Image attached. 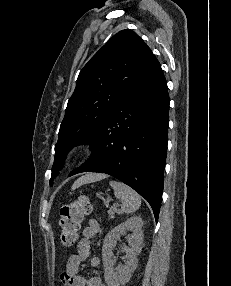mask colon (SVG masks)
<instances>
[{
	"label": "colon",
	"mask_w": 231,
	"mask_h": 286,
	"mask_svg": "<svg viewBox=\"0 0 231 286\" xmlns=\"http://www.w3.org/2000/svg\"><path fill=\"white\" fill-rule=\"evenodd\" d=\"M91 208L88 197L82 195L60 209V240L64 246L70 247L76 243L81 222L84 216L90 213Z\"/></svg>",
	"instance_id": "colon-1"
}]
</instances>
